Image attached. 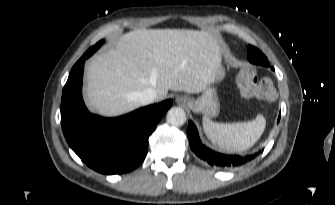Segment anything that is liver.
Returning <instances> with one entry per match:
<instances>
[{"mask_svg": "<svg viewBox=\"0 0 335 205\" xmlns=\"http://www.w3.org/2000/svg\"><path fill=\"white\" fill-rule=\"evenodd\" d=\"M222 51L206 31H130L88 63L86 101L93 112L112 117L138 108L136 93L149 87L158 101L168 90L199 93L213 83Z\"/></svg>", "mask_w": 335, "mask_h": 205, "instance_id": "1", "label": "liver"}]
</instances>
